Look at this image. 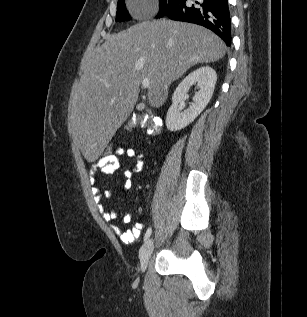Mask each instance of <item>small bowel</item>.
Returning <instances> with one entry per match:
<instances>
[{"instance_id": "obj_1", "label": "small bowel", "mask_w": 307, "mask_h": 317, "mask_svg": "<svg viewBox=\"0 0 307 317\" xmlns=\"http://www.w3.org/2000/svg\"><path fill=\"white\" fill-rule=\"evenodd\" d=\"M127 157L133 163V171L140 172L143 169V155L139 153L136 149L131 147H121L118 151V155L111 159H98L94 166V172H99L102 175L113 174L120 166L119 157ZM125 181L123 182V188L125 190H130L132 187V173L130 171L125 172ZM113 195V191L108 190L105 192L106 197H111ZM96 202L100 201V196L97 195L95 197ZM103 218L106 221H111L117 218V213L114 210L106 211L102 209ZM133 220V216L131 213H127L123 217V221L125 223H130ZM113 230L119 235L122 242L126 244H132L135 242L137 237L140 234L142 229V224L135 223L133 227L129 230L123 231L120 228L113 226Z\"/></svg>"}]
</instances>
